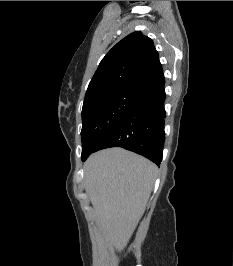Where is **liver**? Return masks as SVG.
I'll list each match as a JSON object with an SVG mask.
<instances>
[{"mask_svg": "<svg viewBox=\"0 0 233 266\" xmlns=\"http://www.w3.org/2000/svg\"><path fill=\"white\" fill-rule=\"evenodd\" d=\"M157 175L151 161L122 148L92 154L84 164V186L96 224L108 245L122 251L140 221Z\"/></svg>", "mask_w": 233, "mask_h": 266, "instance_id": "obj_1", "label": "liver"}]
</instances>
